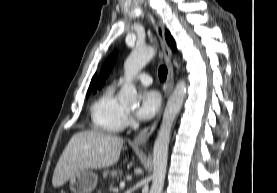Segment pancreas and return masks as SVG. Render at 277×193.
Listing matches in <instances>:
<instances>
[{"label":"pancreas","instance_id":"pancreas-1","mask_svg":"<svg viewBox=\"0 0 277 193\" xmlns=\"http://www.w3.org/2000/svg\"><path fill=\"white\" fill-rule=\"evenodd\" d=\"M104 178H112L114 180L117 178V180L121 179L123 177V171L120 169H107L103 172Z\"/></svg>","mask_w":277,"mask_h":193}]
</instances>
